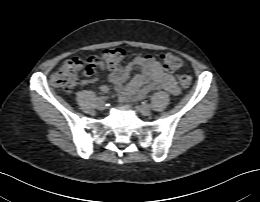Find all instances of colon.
I'll list each match as a JSON object with an SVG mask.
<instances>
[{"instance_id": "colon-1", "label": "colon", "mask_w": 260, "mask_h": 202, "mask_svg": "<svg viewBox=\"0 0 260 202\" xmlns=\"http://www.w3.org/2000/svg\"><path fill=\"white\" fill-rule=\"evenodd\" d=\"M124 56L123 49L113 48L103 51L101 58L95 56L71 58L51 76V85L64 91H70L76 86L82 71L84 74L95 71L101 64L109 68L118 67ZM160 63L167 71H178L184 67L183 60L171 52L161 54ZM177 80L183 87H189L192 84L191 76L186 74L178 75Z\"/></svg>"}]
</instances>
